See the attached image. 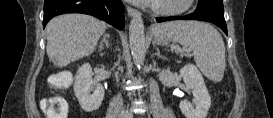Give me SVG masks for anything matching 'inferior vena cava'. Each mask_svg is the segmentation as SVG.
Returning <instances> with one entry per match:
<instances>
[{
  "mask_svg": "<svg viewBox=\"0 0 273 118\" xmlns=\"http://www.w3.org/2000/svg\"><path fill=\"white\" fill-rule=\"evenodd\" d=\"M125 116H126L127 118H130V117H131V114H130L129 112H126V113H125Z\"/></svg>",
  "mask_w": 273,
  "mask_h": 118,
  "instance_id": "inferior-vena-cava-1",
  "label": "inferior vena cava"
}]
</instances>
